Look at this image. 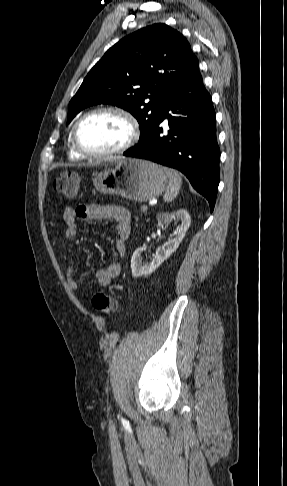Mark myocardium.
Segmentation results:
<instances>
[{
	"label": "myocardium",
	"mask_w": 287,
	"mask_h": 486,
	"mask_svg": "<svg viewBox=\"0 0 287 486\" xmlns=\"http://www.w3.org/2000/svg\"><path fill=\"white\" fill-rule=\"evenodd\" d=\"M102 113H112L116 114L120 117H122L129 128V135L127 140L119 147L114 148L109 151H104V152H92L87 149H85L79 140V130L81 125L86 121L88 118L102 114ZM140 137V127L139 123L136 120V118L127 110L117 107V106H104V107H99L96 109H93L91 111H88L84 115H82L77 122L74 125L73 131H72V144L75 148V150L82 155L83 157L86 158H93V159H103V158H108L112 157L118 154H122L129 150L132 146L135 145V143L138 141Z\"/></svg>",
	"instance_id": "myocardium-1"
}]
</instances>
